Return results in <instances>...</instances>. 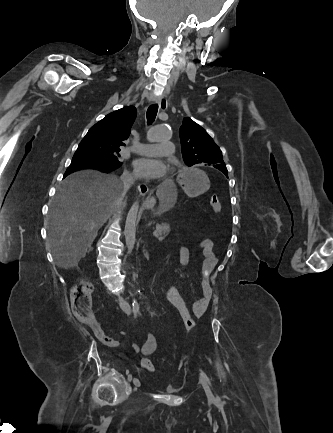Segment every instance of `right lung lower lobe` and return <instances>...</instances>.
I'll return each mask as SVG.
<instances>
[{
    "label": "right lung lower lobe",
    "mask_w": 333,
    "mask_h": 433,
    "mask_svg": "<svg viewBox=\"0 0 333 433\" xmlns=\"http://www.w3.org/2000/svg\"><path fill=\"white\" fill-rule=\"evenodd\" d=\"M118 167H120V166H113V165H109V164L100 163L97 161H87V160L74 161V160H72L70 166L68 167L66 173L64 174V177L67 176L68 174L76 171V170L84 169V168H96V169H100L103 172L108 173L110 171L116 170Z\"/></svg>",
    "instance_id": "right-lung-lower-lobe-1"
}]
</instances>
